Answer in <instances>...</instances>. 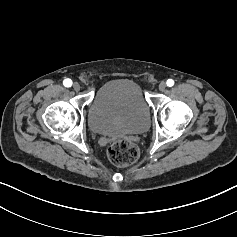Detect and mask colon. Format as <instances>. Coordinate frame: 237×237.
Here are the masks:
<instances>
[{
	"label": "colon",
	"mask_w": 237,
	"mask_h": 237,
	"mask_svg": "<svg viewBox=\"0 0 237 237\" xmlns=\"http://www.w3.org/2000/svg\"><path fill=\"white\" fill-rule=\"evenodd\" d=\"M107 156L115 165L131 166L139 158V149L130 140H119L108 145Z\"/></svg>",
	"instance_id": "1"
}]
</instances>
